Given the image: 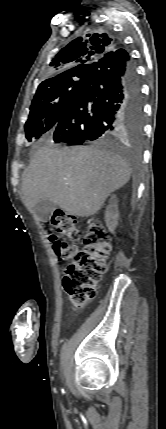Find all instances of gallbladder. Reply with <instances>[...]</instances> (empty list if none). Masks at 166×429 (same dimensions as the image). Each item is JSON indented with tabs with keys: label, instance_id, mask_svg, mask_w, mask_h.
Instances as JSON below:
<instances>
[{
	"label": "gallbladder",
	"instance_id": "obj_1",
	"mask_svg": "<svg viewBox=\"0 0 166 429\" xmlns=\"http://www.w3.org/2000/svg\"><path fill=\"white\" fill-rule=\"evenodd\" d=\"M57 205L49 200H40L34 206V211L42 222H47Z\"/></svg>",
	"mask_w": 166,
	"mask_h": 429
}]
</instances>
